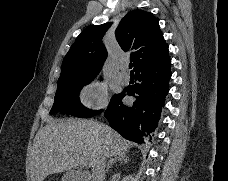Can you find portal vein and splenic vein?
<instances>
[{"label":"portal vein and splenic vein","instance_id":"obj_1","mask_svg":"<svg viewBox=\"0 0 228 181\" xmlns=\"http://www.w3.org/2000/svg\"><path fill=\"white\" fill-rule=\"evenodd\" d=\"M76 165L77 167H86L85 161H83L82 157H78V159H76Z\"/></svg>","mask_w":228,"mask_h":181}]
</instances>
